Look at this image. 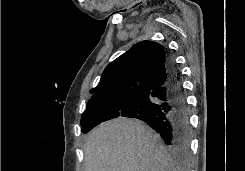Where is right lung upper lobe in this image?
Returning <instances> with one entry per match:
<instances>
[{
	"instance_id": "cb5924a9",
	"label": "right lung upper lobe",
	"mask_w": 245,
	"mask_h": 171,
	"mask_svg": "<svg viewBox=\"0 0 245 171\" xmlns=\"http://www.w3.org/2000/svg\"><path fill=\"white\" fill-rule=\"evenodd\" d=\"M168 56L166 48L156 42L135 44L105 68L99 84L90 90L89 102L120 95L133 98L164 85Z\"/></svg>"
}]
</instances>
